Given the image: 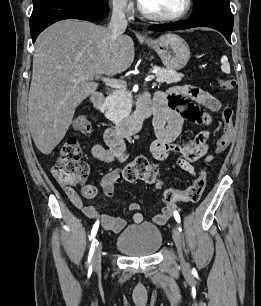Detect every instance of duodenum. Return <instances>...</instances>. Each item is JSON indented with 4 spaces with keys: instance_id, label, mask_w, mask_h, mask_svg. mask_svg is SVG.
Segmentation results:
<instances>
[{
    "instance_id": "1",
    "label": "duodenum",
    "mask_w": 261,
    "mask_h": 306,
    "mask_svg": "<svg viewBox=\"0 0 261 306\" xmlns=\"http://www.w3.org/2000/svg\"><path fill=\"white\" fill-rule=\"evenodd\" d=\"M105 101V96L102 93H96L91 98V103L94 108L100 109ZM152 107L148 102L141 101L138 110L127 117L120 123L112 127V132L120 137H127L136 133L142 126L143 122L151 115Z\"/></svg>"
}]
</instances>
